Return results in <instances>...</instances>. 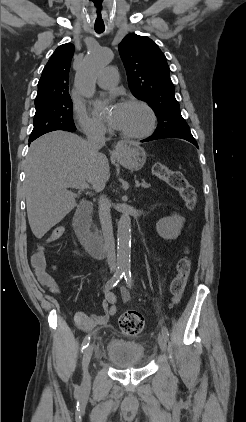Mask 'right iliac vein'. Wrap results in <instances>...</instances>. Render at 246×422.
<instances>
[{
	"mask_svg": "<svg viewBox=\"0 0 246 422\" xmlns=\"http://www.w3.org/2000/svg\"><path fill=\"white\" fill-rule=\"evenodd\" d=\"M93 350H94V344H90L83 355V359H82V368H83V386L84 388H87L90 384V376L88 373V367H89V363L91 360V357L93 355Z\"/></svg>",
	"mask_w": 246,
	"mask_h": 422,
	"instance_id": "63e3f726",
	"label": "right iliac vein"
}]
</instances>
